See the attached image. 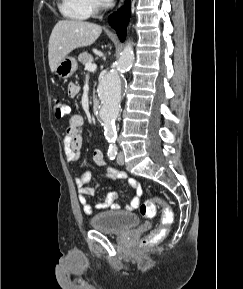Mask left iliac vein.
<instances>
[{
  "mask_svg": "<svg viewBox=\"0 0 243 289\" xmlns=\"http://www.w3.org/2000/svg\"><path fill=\"white\" fill-rule=\"evenodd\" d=\"M117 162H118L119 165H123L124 164V154H123V152H120L118 154Z\"/></svg>",
  "mask_w": 243,
  "mask_h": 289,
  "instance_id": "1",
  "label": "left iliac vein"
}]
</instances>
